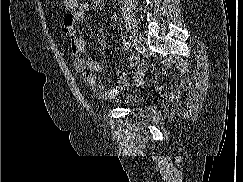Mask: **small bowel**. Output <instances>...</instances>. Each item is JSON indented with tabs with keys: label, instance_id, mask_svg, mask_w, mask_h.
<instances>
[{
	"label": "small bowel",
	"instance_id": "obj_1",
	"mask_svg": "<svg viewBox=\"0 0 243 182\" xmlns=\"http://www.w3.org/2000/svg\"><path fill=\"white\" fill-rule=\"evenodd\" d=\"M103 7V0H90L83 4L75 13L67 15L63 20V32L69 38L71 45V57L73 66L81 81L100 99H112L130 85H138L143 81L146 71V64L137 54L130 56L127 67L115 72L116 84L112 87H105L98 83L96 73L100 72L99 61L86 56V42L78 32V25L83 22L91 9ZM134 69L131 80L128 79V72Z\"/></svg>",
	"mask_w": 243,
	"mask_h": 182
}]
</instances>
